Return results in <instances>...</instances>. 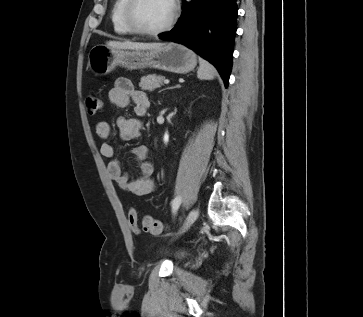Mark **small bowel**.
<instances>
[{"mask_svg": "<svg viewBox=\"0 0 363 317\" xmlns=\"http://www.w3.org/2000/svg\"><path fill=\"white\" fill-rule=\"evenodd\" d=\"M108 98L112 105L119 108H124L132 102L138 116H143L149 107V100L145 93L136 90L133 83L127 78H119L115 81L108 93ZM141 127L139 119L121 117L117 121L118 137L122 141L136 139L140 136ZM96 132L102 139H109L113 136V130L106 121L97 123ZM101 153L110 159L107 166L109 178L114 180L121 189L135 196H144L155 190L156 185L152 179L154 165L149 159L147 146L137 145L132 149L138 167V175L133 178L124 171L121 161L116 156L117 149L114 143L104 142L101 145Z\"/></svg>", "mask_w": 363, "mask_h": 317, "instance_id": "1", "label": "small bowel"}]
</instances>
